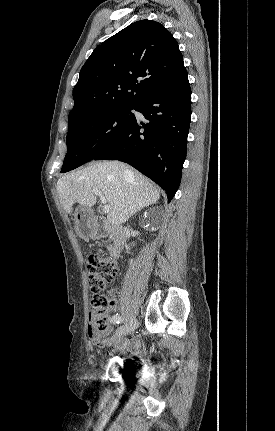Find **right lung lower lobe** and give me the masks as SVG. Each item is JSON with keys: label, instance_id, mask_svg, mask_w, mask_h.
<instances>
[{"label": "right lung lower lobe", "instance_id": "1", "mask_svg": "<svg viewBox=\"0 0 275 431\" xmlns=\"http://www.w3.org/2000/svg\"><path fill=\"white\" fill-rule=\"evenodd\" d=\"M149 122H134L94 160L126 162L159 184L168 201L181 181L191 121V90L184 69L167 86L145 97L135 108Z\"/></svg>", "mask_w": 275, "mask_h": 431}]
</instances>
